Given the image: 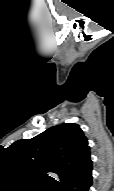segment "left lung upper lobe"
Masks as SVG:
<instances>
[{
    "instance_id": "5c2ea615",
    "label": "left lung upper lobe",
    "mask_w": 114,
    "mask_h": 191,
    "mask_svg": "<svg viewBox=\"0 0 114 191\" xmlns=\"http://www.w3.org/2000/svg\"><path fill=\"white\" fill-rule=\"evenodd\" d=\"M8 151L18 163L41 175L58 174L60 180L51 181L59 188L90 158L88 140L75 123L56 125L32 139L18 140Z\"/></svg>"
}]
</instances>
